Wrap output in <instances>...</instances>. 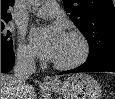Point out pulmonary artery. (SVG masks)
I'll use <instances>...</instances> for the list:
<instances>
[{"label":"pulmonary artery","instance_id":"e3ab8cb5","mask_svg":"<svg viewBox=\"0 0 115 99\" xmlns=\"http://www.w3.org/2000/svg\"><path fill=\"white\" fill-rule=\"evenodd\" d=\"M59 14V6L54 1L45 2L37 11L36 15L42 18H54Z\"/></svg>","mask_w":115,"mask_h":99}]
</instances>
